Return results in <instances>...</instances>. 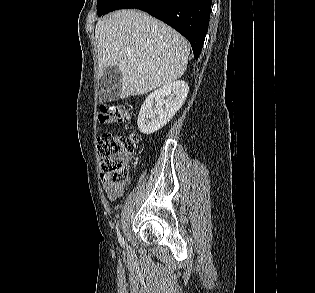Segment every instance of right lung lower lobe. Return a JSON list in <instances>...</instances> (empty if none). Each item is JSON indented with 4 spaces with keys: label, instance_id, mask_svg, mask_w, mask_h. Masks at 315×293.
<instances>
[{
    "label": "right lung lower lobe",
    "instance_id": "obj_1",
    "mask_svg": "<svg viewBox=\"0 0 315 293\" xmlns=\"http://www.w3.org/2000/svg\"><path fill=\"white\" fill-rule=\"evenodd\" d=\"M211 3L212 0H113L104 14L124 8L146 11L185 36L197 60L208 30Z\"/></svg>",
    "mask_w": 315,
    "mask_h": 293
}]
</instances>
